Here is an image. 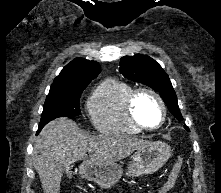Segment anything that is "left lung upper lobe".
Segmentation results:
<instances>
[{
	"label": "left lung upper lobe",
	"mask_w": 221,
	"mask_h": 193,
	"mask_svg": "<svg viewBox=\"0 0 221 193\" xmlns=\"http://www.w3.org/2000/svg\"><path fill=\"white\" fill-rule=\"evenodd\" d=\"M119 70L125 78L143 83L160 93L174 117L183 120L170 79L155 60L141 54L124 56L120 60Z\"/></svg>",
	"instance_id": "obj_1"
}]
</instances>
